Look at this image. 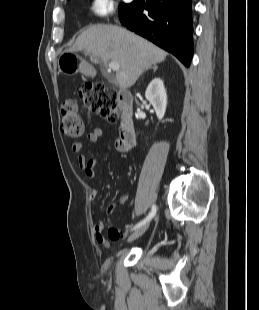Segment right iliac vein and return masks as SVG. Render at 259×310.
<instances>
[{"label":"right iliac vein","instance_id":"obj_1","mask_svg":"<svg viewBox=\"0 0 259 310\" xmlns=\"http://www.w3.org/2000/svg\"><path fill=\"white\" fill-rule=\"evenodd\" d=\"M149 227V223L144 224L143 226L139 227L136 231H134L128 238V242H132L142 236Z\"/></svg>","mask_w":259,"mask_h":310}]
</instances>
